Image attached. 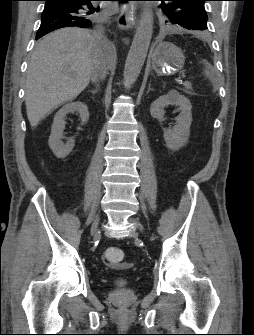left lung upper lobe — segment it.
<instances>
[{
  "mask_svg": "<svg viewBox=\"0 0 254 335\" xmlns=\"http://www.w3.org/2000/svg\"><path fill=\"white\" fill-rule=\"evenodd\" d=\"M164 1H168L165 4ZM207 0H161V8L167 16L166 23L192 30L207 29Z\"/></svg>",
  "mask_w": 254,
  "mask_h": 335,
  "instance_id": "left-lung-upper-lobe-1",
  "label": "left lung upper lobe"
}]
</instances>
